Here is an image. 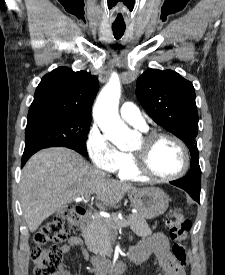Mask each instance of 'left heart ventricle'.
<instances>
[{"label": "left heart ventricle", "instance_id": "obj_1", "mask_svg": "<svg viewBox=\"0 0 225 275\" xmlns=\"http://www.w3.org/2000/svg\"><path fill=\"white\" fill-rule=\"evenodd\" d=\"M144 148L145 144L141 139L134 151H141ZM148 164L157 175H172L182 167L183 154L176 143L168 139H161L149 148Z\"/></svg>", "mask_w": 225, "mask_h": 275}]
</instances>
